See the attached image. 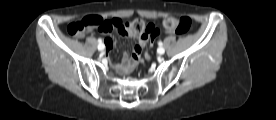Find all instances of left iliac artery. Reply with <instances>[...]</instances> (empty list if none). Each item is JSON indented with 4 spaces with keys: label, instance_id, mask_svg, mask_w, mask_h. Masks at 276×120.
I'll return each instance as SVG.
<instances>
[{
    "label": "left iliac artery",
    "instance_id": "obj_1",
    "mask_svg": "<svg viewBox=\"0 0 276 120\" xmlns=\"http://www.w3.org/2000/svg\"><path fill=\"white\" fill-rule=\"evenodd\" d=\"M158 45H159L160 47H162V46H163V43H162L161 41H159V42H158Z\"/></svg>",
    "mask_w": 276,
    "mask_h": 120
}]
</instances>
